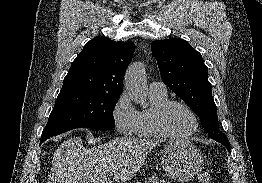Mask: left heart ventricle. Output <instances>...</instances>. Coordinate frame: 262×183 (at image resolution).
<instances>
[{
	"instance_id": "obj_1",
	"label": "left heart ventricle",
	"mask_w": 262,
	"mask_h": 183,
	"mask_svg": "<svg viewBox=\"0 0 262 183\" xmlns=\"http://www.w3.org/2000/svg\"><path fill=\"white\" fill-rule=\"evenodd\" d=\"M194 118L183 106L174 105L166 115V126L175 134H184L194 128Z\"/></svg>"
}]
</instances>
